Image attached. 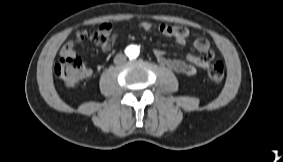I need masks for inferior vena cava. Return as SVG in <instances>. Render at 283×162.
Returning <instances> with one entry per match:
<instances>
[{
  "instance_id": "obj_1",
  "label": "inferior vena cava",
  "mask_w": 283,
  "mask_h": 162,
  "mask_svg": "<svg viewBox=\"0 0 283 162\" xmlns=\"http://www.w3.org/2000/svg\"><path fill=\"white\" fill-rule=\"evenodd\" d=\"M126 60V56L122 53H119L115 56L114 58V63L115 64H121Z\"/></svg>"
}]
</instances>
